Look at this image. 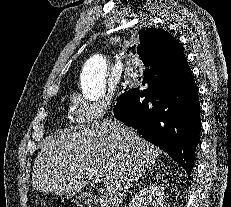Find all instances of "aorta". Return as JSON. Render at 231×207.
Returning a JSON list of instances; mask_svg holds the SVG:
<instances>
[{
	"label": "aorta",
	"instance_id": "aorta-1",
	"mask_svg": "<svg viewBox=\"0 0 231 207\" xmlns=\"http://www.w3.org/2000/svg\"><path fill=\"white\" fill-rule=\"evenodd\" d=\"M107 63L102 55L91 56L81 74V89L85 99L97 101L105 94Z\"/></svg>",
	"mask_w": 231,
	"mask_h": 207
}]
</instances>
